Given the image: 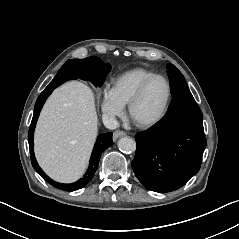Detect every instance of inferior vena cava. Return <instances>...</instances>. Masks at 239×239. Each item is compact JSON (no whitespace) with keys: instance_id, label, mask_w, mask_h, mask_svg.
<instances>
[{"instance_id":"obj_1","label":"inferior vena cava","mask_w":239,"mask_h":239,"mask_svg":"<svg viewBox=\"0 0 239 239\" xmlns=\"http://www.w3.org/2000/svg\"><path fill=\"white\" fill-rule=\"evenodd\" d=\"M102 120L104 126L108 129H116L119 127V123L114 116L105 114L103 115Z\"/></svg>"}]
</instances>
